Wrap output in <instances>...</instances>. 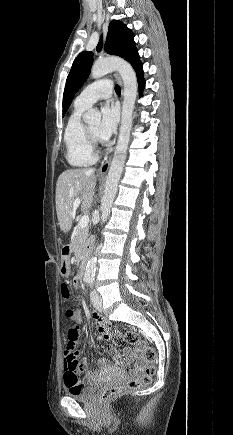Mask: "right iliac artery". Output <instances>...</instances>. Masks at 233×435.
I'll return each instance as SVG.
<instances>
[{"mask_svg":"<svg viewBox=\"0 0 233 435\" xmlns=\"http://www.w3.org/2000/svg\"><path fill=\"white\" fill-rule=\"evenodd\" d=\"M90 279H86L85 281L88 282Z\"/></svg>","mask_w":233,"mask_h":435,"instance_id":"1","label":"right iliac artery"}]
</instances>
